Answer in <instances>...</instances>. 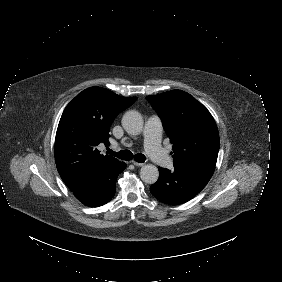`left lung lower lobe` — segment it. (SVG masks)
Masks as SVG:
<instances>
[{
	"mask_svg": "<svg viewBox=\"0 0 282 282\" xmlns=\"http://www.w3.org/2000/svg\"><path fill=\"white\" fill-rule=\"evenodd\" d=\"M159 179L151 185L152 195L163 203L179 205L196 196L210 180L215 166L182 165L173 171L158 167Z\"/></svg>",
	"mask_w": 282,
	"mask_h": 282,
	"instance_id": "1",
	"label": "left lung lower lobe"
}]
</instances>
